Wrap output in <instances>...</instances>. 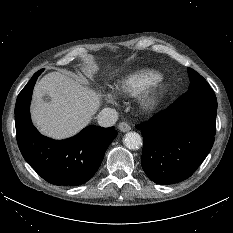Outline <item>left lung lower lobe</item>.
<instances>
[{"instance_id": "left-lung-lower-lobe-1", "label": "left lung lower lobe", "mask_w": 233, "mask_h": 233, "mask_svg": "<svg viewBox=\"0 0 233 233\" xmlns=\"http://www.w3.org/2000/svg\"><path fill=\"white\" fill-rule=\"evenodd\" d=\"M217 99L213 90H191L137 127L144 145L141 165L158 184L189 178L210 152L216 132Z\"/></svg>"}]
</instances>
